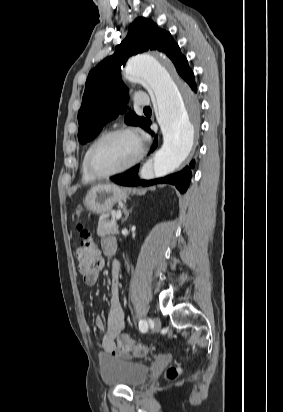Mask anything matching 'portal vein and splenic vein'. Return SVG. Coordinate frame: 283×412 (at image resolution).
<instances>
[{
    "label": "portal vein and splenic vein",
    "instance_id": "portal-vein-and-splenic-vein-1",
    "mask_svg": "<svg viewBox=\"0 0 283 412\" xmlns=\"http://www.w3.org/2000/svg\"><path fill=\"white\" fill-rule=\"evenodd\" d=\"M121 211H117V213H116V219H120L121 218Z\"/></svg>",
    "mask_w": 283,
    "mask_h": 412
}]
</instances>
